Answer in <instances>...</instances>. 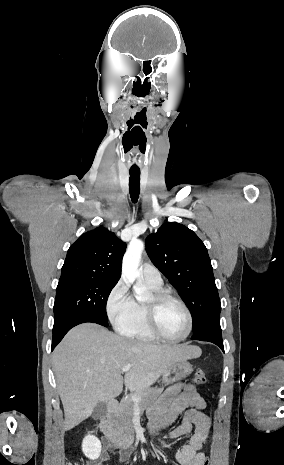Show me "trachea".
<instances>
[{"mask_svg":"<svg viewBox=\"0 0 284 465\" xmlns=\"http://www.w3.org/2000/svg\"><path fill=\"white\" fill-rule=\"evenodd\" d=\"M129 190L133 203H136L140 193V170H130Z\"/></svg>","mask_w":284,"mask_h":465,"instance_id":"trachea-1","label":"trachea"}]
</instances>
